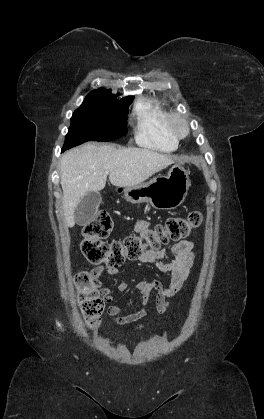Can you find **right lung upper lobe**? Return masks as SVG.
I'll return each instance as SVG.
<instances>
[{
  "instance_id": "right-lung-upper-lobe-1",
  "label": "right lung upper lobe",
  "mask_w": 264,
  "mask_h": 419,
  "mask_svg": "<svg viewBox=\"0 0 264 419\" xmlns=\"http://www.w3.org/2000/svg\"><path fill=\"white\" fill-rule=\"evenodd\" d=\"M89 95H98V96H110V97H113L112 94L109 91L105 90V89L94 90ZM131 98L132 97H126V98H124L122 100H129Z\"/></svg>"
}]
</instances>
